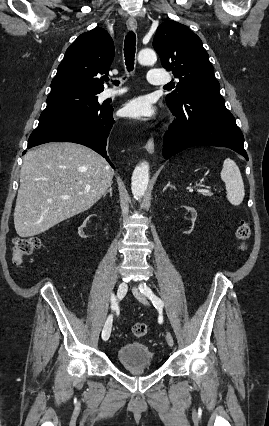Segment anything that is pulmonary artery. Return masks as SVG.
I'll return each instance as SVG.
<instances>
[{
    "label": "pulmonary artery",
    "mask_w": 269,
    "mask_h": 426,
    "mask_svg": "<svg viewBox=\"0 0 269 426\" xmlns=\"http://www.w3.org/2000/svg\"><path fill=\"white\" fill-rule=\"evenodd\" d=\"M147 79L151 84L155 85H166L170 81V76L162 69L152 68L148 70ZM123 90H111L107 89L103 92V98H112L119 96L123 93Z\"/></svg>",
    "instance_id": "pulmonary-artery-1"
}]
</instances>
